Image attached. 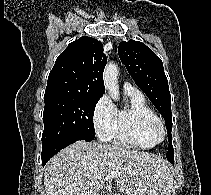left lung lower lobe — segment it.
Returning <instances> with one entry per match:
<instances>
[{"label":"left lung lower lobe","mask_w":211,"mask_h":195,"mask_svg":"<svg viewBox=\"0 0 211 195\" xmlns=\"http://www.w3.org/2000/svg\"><path fill=\"white\" fill-rule=\"evenodd\" d=\"M170 162H171V163H174V160H171Z\"/></svg>","instance_id":"0a47b994"}]
</instances>
